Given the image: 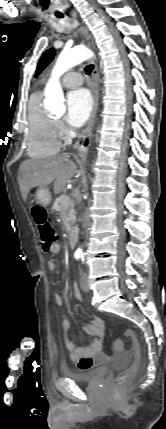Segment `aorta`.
Instances as JSON below:
<instances>
[{"label":"aorta","mask_w":166,"mask_h":429,"mask_svg":"<svg viewBox=\"0 0 166 429\" xmlns=\"http://www.w3.org/2000/svg\"><path fill=\"white\" fill-rule=\"evenodd\" d=\"M92 56V52L84 46H76L64 50L58 57L52 75L45 88V107L54 113L65 111L63 90L59 78L69 68L78 65ZM77 252H82L79 248Z\"/></svg>","instance_id":"1"}]
</instances>
